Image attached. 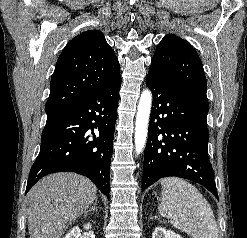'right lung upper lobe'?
<instances>
[{"label":"right lung upper lobe","mask_w":247,"mask_h":238,"mask_svg":"<svg viewBox=\"0 0 247 238\" xmlns=\"http://www.w3.org/2000/svg\"><path fill=\"white\" fill-rule=\"evenodd\" d=\"M120 77L112 48L99 30L79 34L60 54L45 106L47 118L79 103Z\"/></svg>","instance_id":"1"}]
</instances>
